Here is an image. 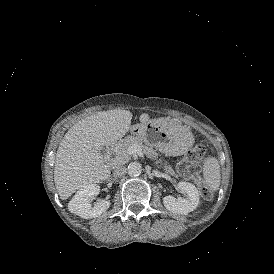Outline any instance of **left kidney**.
Instances as JSON below:
<instances>
[{"label": "left kidney", "instance_id": "5707ae66", "mask_svg": "<svg viewBox=\"0 0 274 274\" xmlns=\"http://www.w3.org/2000/svg\"><path fill=\"white\" fill-rule=\"evenodd\" d=\"M179 189L186 195L177 198L166 196L163 203L166 209L180 215H186L197 208L200 201L199 192L194 184L187 181H179Z\"/></svg>", "mask_w": 274, "mask_h": 274}]
</instances>
